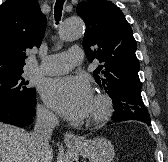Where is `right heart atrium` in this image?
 Instances as JSON below:
<instances>
[{
	"instance_id": "d8ad5b80",
	"label": "right heart atrium",
	"mask_w": 168,
	"mask_h": 162,
	"mask_svg": "<svg viewBox=\"0 0 168 162\" xmlns=\"http://www.w3.org/2000/svg\"><path fill=\"white\" fill-rule=\"evenodd\" d=\"M38 116L42 121L46 123H52L55 120L54 115L43 106L38 107Z\"/></svg>"
}]
</instances>
